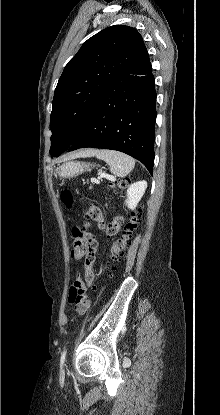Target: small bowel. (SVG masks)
I'll return each instance as SVG.
<instances>
[{"mask_svg": "<svg viewBox=\"0 0 220 415\" xmlns=\"http://www.w3.org/2000/svg\"><path fill=\"white\" fill-rule=\"evenodd\" d=\"M73 308H74V307H73ZM74 310H75V311H77L75 308H74ZM77 312H78V311H77ZM78 313H79V312H78ZM79 314H80V313H79Z\"/></svg>", "mask_w": 220, "mask_h": 415, "instance_id": "obj_1", "label": "small bowel"}]
</instances>
